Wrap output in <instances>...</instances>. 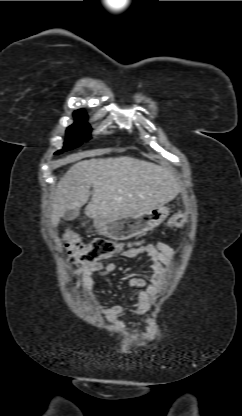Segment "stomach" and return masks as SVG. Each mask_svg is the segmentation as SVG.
<instances>
[{
    "label": "stomach",
    "mask_w": 242,
    "mask_h": 416,
    "mask_svg": "<svg viewBox=\"0 0 242 416\" xmlns=\"http://www.w3.org/2000/svg\"><path fill=\"white\" fill-rule=\"evenodd\" d=\"M170 213L167 206H157L140 214L119 218L94 219L96 232L112 240H127L158 227Z\"/></svg>",
    "instance_id": "obj_1"
}]
</instances>
